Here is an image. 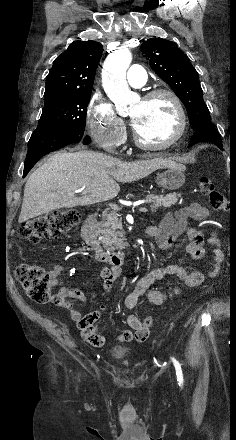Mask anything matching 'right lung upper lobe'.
Returning <instances> with one entry per match:
<instances>
[{
  "mask_svg": "<svg viewBox=\"0 0 236 440\" xmlns=\"http://www.w3.org/2000/svg\"><path fill=\"white\" fill-rule=\"evenodd\" d=\"M95 41H74L60 54L46 77L45 103L90 93L102 56Z\"/></svg>",
  "mask_w": 236,
  "mask_h": 440,
  "instance_id": "obj_1",
  "label": "right lung upper lobe"
}]
</instances>
